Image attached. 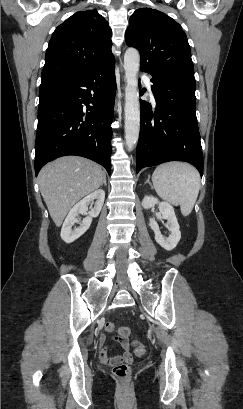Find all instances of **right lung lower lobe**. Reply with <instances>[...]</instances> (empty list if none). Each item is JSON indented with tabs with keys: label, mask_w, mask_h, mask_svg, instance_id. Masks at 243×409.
I'll return each instance as SVG.
<instances>
[{
	"label": "right lung lower lobe",
	"mask_w": 243,
	"mask_h": 409,
	"mask_svg": "<svg viewBox=\"0 0 243 409\" xmlns=\"http://www.w3.org/2000/svg\"><path fill=\"white\" fill-rule=\"evenodd\" d=\"M114 61L90 72L40 86L35 174L65 155L89 158L111 172Z\"/></svg>",
	"instance_id": "obj_1"
}]
</instances>
